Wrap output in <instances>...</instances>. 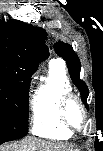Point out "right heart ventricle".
Instances as JSON below:
<instances>
[{
    "label": "right heart ventricle",
    "mask_w": 103,
    "mask_h": 151,
    "mask_svg": "<svg viewBox=\"0 0 103 151\" xmlns=\"http://www.w3.org/2000/svg\"><path fill=\"white\" fill-rule=\"evenodd\" d=\"M72 92L61 62L52 60L46 80L35 90L31 98L32 133L38 137L63 140L71 137L58 118L60 98Z\"/></svg>",
    "instance_id": "1"
}]
</instances>
